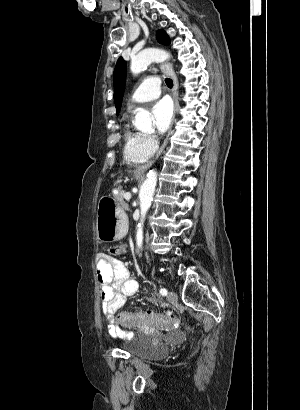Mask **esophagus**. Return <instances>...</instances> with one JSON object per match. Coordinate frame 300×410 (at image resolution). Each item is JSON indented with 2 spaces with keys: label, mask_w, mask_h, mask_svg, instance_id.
Returning a JSON list of instances; mask_svg holds the SVG:
<instances>
[{
  "label": "esophagus",
  "mask_w": 300,
  "mask_h": 410,
  "mask_svg": "<svg viewBox=\"0 0 300 410\" xmlns=\"http://www.w3.org/2000/svg\"><path fill=\"white\" fill-rule=\"evenodd\" d=\"M161 69L162 71L168 75L172 80H173V99H174V105H175V111L177 112L178 107H179V103H178V79L177 76L173 70V67L170 63L165 62L161 65ZM173 130L172 128L169 130L168 135L166 137V139L164 140L161 148L158 150L157 154L155 155V157L149 161L147 164L142 165L140 167H138L135 170V173L137 174H143L144 172H146L151 166L152 164L155 162V160L160 156V154L162 153V151L164 150V148L166 147L169 137L172 134Z\"/></svg>",
  "instance_id": "obj_1"
}]
</instances>
